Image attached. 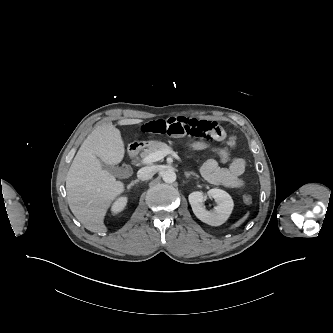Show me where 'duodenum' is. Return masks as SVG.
Segmentation results:
<instances>
[{
  "label": "duodenum",
  "mask_w": 333,
  "mask_h": 333,
  "mask_svg": "<svg viewBox=\"0 0 333 333\" xmlns=\"http://www.w3.org/2000/svg\"><path fill=\"white\" fill-rule=\"evenodd\" d=\"M140 149V145L139 144H133L128 148V156L130 158H133L137 155L138 151Z\"/></svg>",
  "instance_id": "1"
}]
</instances>
